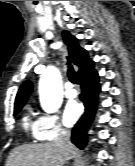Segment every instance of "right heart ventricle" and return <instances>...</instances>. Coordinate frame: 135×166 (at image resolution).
<instances>
[{
    "label": "right heart ventricle",
    "instance_id": "e07e8e85",
    "mask_svg": "<svg viewBox=\"0 0 135 166\" xmlns=\"http://www.w3.org/2000/svg\"><path fill=\"white\" fill-rule=\"evenodd\" d=\"M22 127L25 132L37 139V120L33 118V112L28 107L22 117Z\"/></svg>",
    "mask_w": 135,
    "mask_h": 166
}]
</instances>
